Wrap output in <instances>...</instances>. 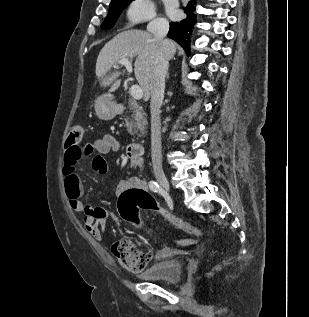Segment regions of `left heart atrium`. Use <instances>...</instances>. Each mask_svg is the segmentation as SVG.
<instances>
[{
	"label": "left heart atrium",
	"instance_id": "39dd6f15",
	"mask_svg": "<svg viewBox=\"0 0 309 317\" xmlns=\"http://www.w3.org/2000/svg\"><path fill=\"white\" fill-rule=\"evenodd\" d=\"M170 14H171L172 16H175V15H176V10H175L174 8H171V9H170Z\"/></svg>",
	"mask_w": 309,
	"mask_h": 317
}]
</instances>
